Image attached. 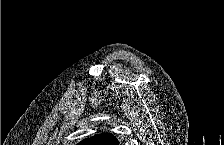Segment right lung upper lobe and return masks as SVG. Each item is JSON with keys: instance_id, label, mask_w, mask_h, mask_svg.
<instances>
[{"instance_id": "cb5924a9", "label": "right lung upper lobe", "mask_w": 224, "mask_h": 145, "mask_svg": "<svg viewBox=\"0 0 224 145\" xmlns=\"http://www.w3.org/2000/svg\"><path fill=\"white\" fill-rule=\"evenodd\" d=\"M119 142L114 135L104 133L96 135L90 139H85L80 142V145H118Z\"/></svg>"}]
</instances>
